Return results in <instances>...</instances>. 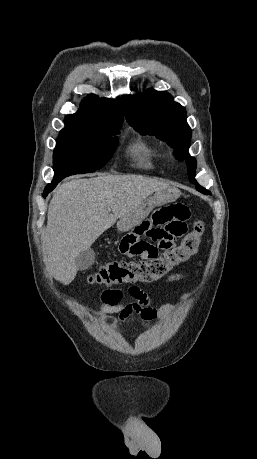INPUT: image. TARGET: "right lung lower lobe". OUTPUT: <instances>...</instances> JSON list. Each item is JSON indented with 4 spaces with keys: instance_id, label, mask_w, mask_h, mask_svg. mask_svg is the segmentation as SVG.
<instances>
[{
    "instance_id": "1",
    "label": "right lung lower lobe",
    "mask_w": 257,
    "mask_h": 459,
    "mask_svg": "<svg viewBox=\"0 0 257 459\" xmlns=\"http://www.w3.org/2000/svg\"><path fill=\"white\" fill-rule=\"evenodd\" d=\"M62 179L63 177H55L53 182L48 184L45 188L43 197L45 198L49 194V192H51Z\"/></svg>"
}]
</instances>
